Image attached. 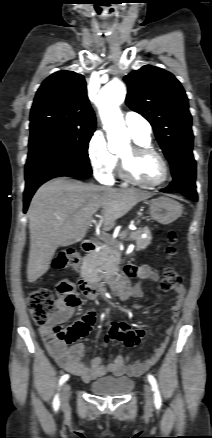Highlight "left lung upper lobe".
<instances>
[{
  "instance_id": "5c2ea615",
  "label": "left lung upper lobe",
  "mask_w": 212,
  "mask_h": 438,
  "mask_svg": "<svg viewBox=\"0 0 212 438\" xmlns=\"http://www.w3.org/2000/svg\"><path fill=\"white\" fill-rule=\"evenodd\" d=\"M128 85L126 104L145 117L169 162L192 151V118L188 98L170 72L145 65L124 77Z\"/></svg>"
}]
</instances>
